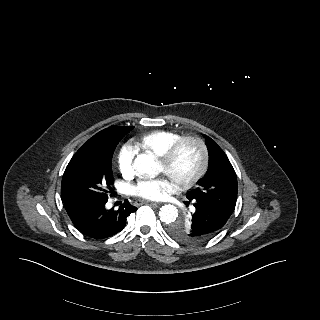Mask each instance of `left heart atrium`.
<instances>
[{"mask_svg":"<svg viewBox=\"0 0 320 320\" xmlns=\"http://www.w3.org/2000/svg\"><path fill=\"white\" fill-rule=\"evenodd\" d=\"M173 189V184L166 178H142L132 187V194L145 199L157 200Z\"/></svg>","mask_w":320,"mask_h":320,"instance_id":"39dd6f15","label":"left heart atrium"}]
</instances>
